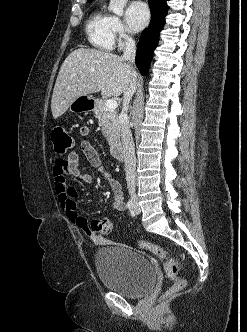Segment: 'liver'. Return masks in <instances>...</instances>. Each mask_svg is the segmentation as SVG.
I'll return each instance as SVG.
<instances>
[{"label":"liver","mask_w":247,"mask_h":332,"mask_svg":"<svg viewBox=\"0 0 247 332\" xmlns=\"http://www.w3.org/2000/svg\"><path fill=\"white\" fill-rule=\"evenodd\" d=\"M132 67L118 55L96 49L79 48L63 62L52 94L54 119L62 116L76 98L101 92L120 96L130 87Z\"/></svg>","instance_id":"obj_1"}]
</instances>
